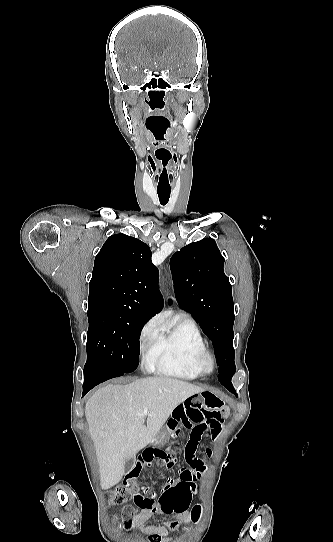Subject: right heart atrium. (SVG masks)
I'll return each mask as SVG.
<instances>
[{
    "instance_id": "d8ad5b80",
    "label": "right heart atrium",
    "mask_w": 333,
    "mask_h": 542,
    "mask_svg": "<svg viewBox=\"0 0 333 542\" xmlns=\"http://www.w3.org/2000/svg\"><path fill=\"white\" fill-rule=\"evenodd\" d=\"M159 337V329L154 322H149L142 330L141 342L143 346H146Z\"/></svg>"
}]
</instances>
